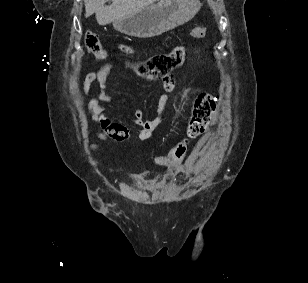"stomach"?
Listing matches in <instances>:
<instances>
[{
    "mask_svg": "<svg viewBox=\"0 0 308 283\" xmlns=\"http://www.w3.org/2000/svg\"><path fill=\"white\" fill-rule=\"evenodd\" d=\"M200 7L199 0H161L115 20L113 27L133 37H155L188 22Z\"/></svg>",
    "mask_w": 308,
    "mask_h": 283,
    "instance_id": "1",
    "label": "stomach"
}]
</instances>
